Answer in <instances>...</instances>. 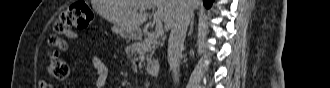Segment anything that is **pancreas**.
I'll list each match as a JSON object with an SVG mask.
<instances>
[{
	"label": "pancreas",
	"mask_w": 330,
	"mask_h": 88,
	"mask_svg": "<svg viewBox=\"0 0 330 88\" xmlns=\"http://www.w3.org/2000/svg\"><path fill=\"white\" fill-rule=\"evenodd\" d=\"M159 44L160 42L157 37L149 35L145 40L132 45L130 48L132 54L138 55V57H135L134 60L139 59L140 63H142L146 57L149 59Z\"/></svg>",
	"instance_id": "pancreas-1"
}]
</instances>
